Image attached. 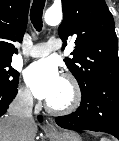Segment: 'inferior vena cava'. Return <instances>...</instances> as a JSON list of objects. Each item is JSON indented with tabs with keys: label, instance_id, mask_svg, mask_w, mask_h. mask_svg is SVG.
Returning <instances> with one entry per match:
<instances>
[{
	"label": "inferior vena cava",
	"instance_id": "602c4592",
	"mask_svg": "<svg viewBox=\"0 0 119 141\" xmlns=\"http://www.w3.org/2000/svg\"><path fill=\"white\" fill-rule=\"evenodd\" d=\"M33 97L30 92L19 94L9 106L8 114L16 119L23 129H27L34 124L32 116Z\"/></svg>",
	"mask_w": 119,
	"mask_h": 141
}]
</instances>
